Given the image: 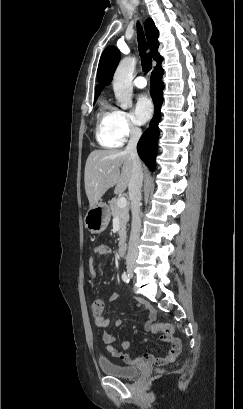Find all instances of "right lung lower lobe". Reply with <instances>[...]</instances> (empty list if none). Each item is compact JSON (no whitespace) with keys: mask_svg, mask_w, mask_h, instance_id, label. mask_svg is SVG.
<instances>
[{"mask_svg":"<svg viewBox=\"0 0 243 409\" xmlns=\"http://www.w3.org/2000/svg\"><path fill=\"white\" fill-rule=\"evenodd\" d=\"M161 62L162 59L157 63L150 79L151 95L156 105L155 114L150 122L149 128L143 133L137 145V151L140 158L150 170L155 169V157L157 154L159 136L158 123L160 118V108L163 102L164 84L162 82L163 69L161 67Z\"/></svg>","mask_w":243,"mask_h":409,"instance_id":"right-lung-lower-lobe-1","label":"right lung lower lobe"}]
</instances>
